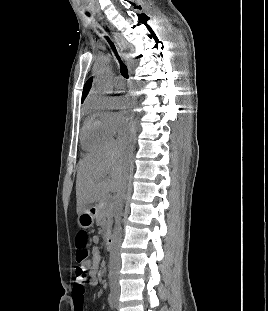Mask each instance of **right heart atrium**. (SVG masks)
<instances>
[{
	"instance_id": "right-heart-atrium-1",
	"label": "right heart atrium",
	"mask_w": 268,
	"mask_h": 311,
	"mask_svg": "<svg viewBox=\"0 0 268 311\" xmlns=\"http://www.w3.org/2000/svg\"><path fill=\"white\" fill-rule=\"evenodd\" d=\"M89 110L112 136L124 130V118L114 110V106L109 98L93 97L89 103Z\"/></svg>"
}]
</instances>
